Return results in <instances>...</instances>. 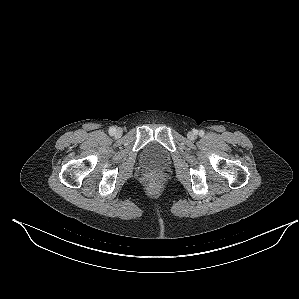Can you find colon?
<instances>
[{
	"label": "colon",
	"instance_id": "5ec220e1",
	"mask_svg": "<svg viewBox=\"0 0 299 299\" xmlns=\"http://www.w3.org/2000/svg\"><path fill=\"white\" fill-rule=\"evenodd\" d=\"M155 185H156V183L153 181V182H152V186H155Z\"/></svg>",
	"mask_w": 299,
	"mask_h": 299
}]
</instances>
